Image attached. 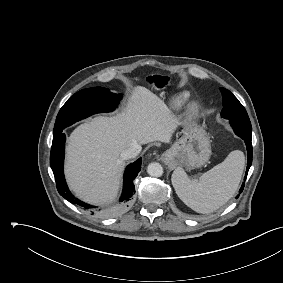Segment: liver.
<instances>
[{
  "mask_svg": "<svg viewBox=\"0 0 283 283\" xmlns=\"http://www.w3.org/2000/svg\"><path fill=\"white\" fill-rule=\"evenodd\" d=\"M176 126L177 119L157 95L134 87L120 113L97 116L71 133L65 164L71 190L89 203L114 200L125 166L121 153L132 144L168 142Z\"/></svg>",
  "mask_w": 283,
  "mask_h": 283,
  "instance_id": "liver-1",
  "label": "liver"
}]
</instances>
